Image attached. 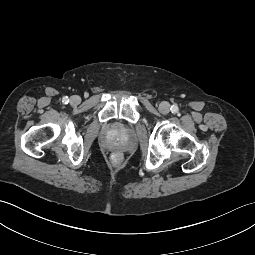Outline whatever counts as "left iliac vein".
I'll list each match as a JSON object with an SVG mask.
<instances>
[{
  "label": "left iliac vein",
  "instance_id": "left-iliac-vein-1",
  "mask_svg": "<svg viewBox=\"0 0 255 255\" xmlns=\"http://www.w3.org/2000/svg\"><path fill=\"white\" fill-rule=\"evenodd\" d=\"M159 111L162 114H167L170 111V104L168 102H161L159 105Z\"/></svg>",
  "mask_w": 255,
  "mask_h": 255
}]
</instances>
